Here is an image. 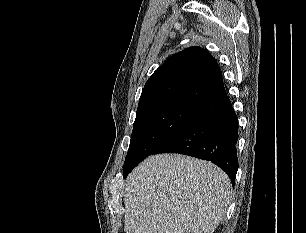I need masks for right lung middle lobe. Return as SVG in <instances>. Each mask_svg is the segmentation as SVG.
<instances>
[{"instance_id":"obj_1","label":"right lung middle lobe","mask_w":306,"mask_h":233,"mask_svg":"<svg viewBox=\"0 0 306 233\" xmlns=\"http://www.w3.org/2000/svg\"><path fill=\"white\" fill-rule=\"evenodd\" d=\"M202 108L199 104L182 99L157 100L138 108L123 176L152 154Z\"/></svg>"}]
</instances>
